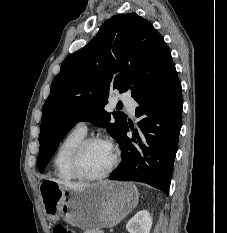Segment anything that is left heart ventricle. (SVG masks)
<instances>
[{
    "label": "left heart ventricle",
    "mask_w": 227,
    "mask_h": 233,
    "mask_svg": "<svg viewBox=\"0 0 227 233\" xmlns=\"http://www.w3.org/2000/svg\"><path fill=\"white\" fill-rule=\"evenodd\" d=\"M112 161V150L106 143H93L87 147L81 158L82 170L91 175L104 172Z\"/></svg>",
    "instance_id": "obj_1"
}]
</instances>
